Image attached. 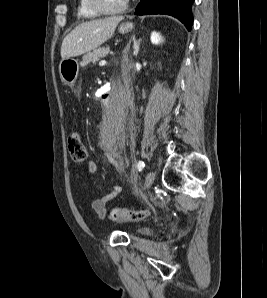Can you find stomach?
<instances>
[{
    "instance_id": "stomach-1",
    "label": "stomach",
    "mask_w": 267,
    "mask_h": 298,
    "mask_svg": "<svg viewBox=\"0 0 267 298\" xmlns=\"http://www.w3.org/2000/svg\"><path fill=\"white\" fill-rule=\"evenodd\" d=\"M134 28L133 23L120 25L119 32L122 34L130 32ZM79 71L78 61L73 58L64 59L60 62L59 72L61 80L68 86L74 85Z\"/></svg>"
}]
</instances>
